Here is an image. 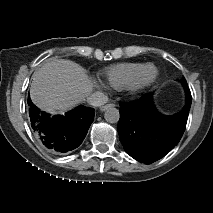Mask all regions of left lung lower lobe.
<instances>
[{
    "instance_id": "0a47b994",
    "label": "left lung lower lobe",
    "mask_w": 213,
    "mask_h": 213,
    "mask_svg": "<svg viewBox=\"0 0 213 213\" xmlns=\"http://www.w3.org/2000/svg\"><path fill=\"white\" fill-rule=\"evenodd\" d=\"M184 109L177 115L159 113L147 94L137 101L120 104V120L117 125L119 139L125 151L134 159L150 164L173 149L181 139L187 123L192 96L187 82Z\"/></svg>"
}]
</instances>
